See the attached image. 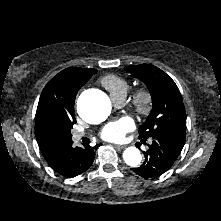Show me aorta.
<instances>
[{"label":"aorta","instance_id":"1","mask_svg":"<svg viewBox=\"0 0 221 221\" xmlns=\"http://www.w3.org/2000/svg\"><path fill=\"white\" fill-rule=\"evenodd\" d=\"M77 110L79 115L89 123H98L105 120L111 111V102L103 93L83 95L78 99ZM126 164L136 167L141 162V153L136 147H128L123 152Z\"/></svg>","mask_w":221,"mask_h":221}]
</instances>
